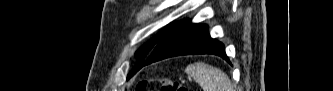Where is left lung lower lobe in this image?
<instances>
[{
	"instance_id": "obj_1",
	"label": "left lung lower lobe",
	"mask_w": 333,
	"mask_h": 91,
	"mask_svg": "<svg viewBox=\"0 0 333 91\" xmlns=\"http://www.w3.org/2000/svg\"><path fill=\"white\" fill-rule=\"evenodd\" d=\"M194 54L218 55L229 62L224 45L210 37L207 25L182 20L171 26L139 69L165 58Z\"/></svg>"
}]
</instances>
